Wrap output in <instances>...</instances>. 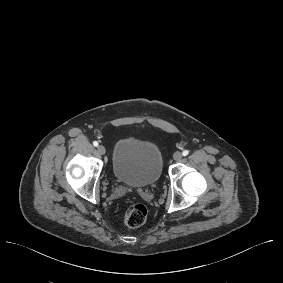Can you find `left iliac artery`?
I'll list each match as a JSON object with an SVG mask.
<instances>
[{"instance_id":"1","label":"left iliac artery","mask_w":283,"mask_h":283,"mask_svg":"<svg viewBox=\"0 0 283 283\" xmlns=\"http://www.w3.org/2000/svg\"><path fill=\"white\" fill-rule=\"evenodd\" d=\"M189 154V151L188 150H184L183 152H182V155L183 156H187Z\"/></svg>"}]
</instances>
